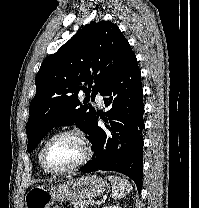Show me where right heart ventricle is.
<instances>
[{
	"instance_id": "e07e8e85",
	"label": "right heart ventricle",
	"mask_w": 199,
	"mask_h": 208,
	"mask_svg": "<svg viewBox=\"0 0 199 208\" xmlns=\"http://www.w3.org/2000/svg\"><path fill=\"white\" fill-rule=\"evenodd\" d=\"M42 147H43V145L40 147V150L38 152V162H39L41 168L43 169V171L46 173H49V171L45 168L43 161H42Z\"/></svg>"
}]
</instances>
